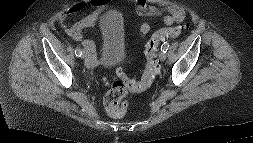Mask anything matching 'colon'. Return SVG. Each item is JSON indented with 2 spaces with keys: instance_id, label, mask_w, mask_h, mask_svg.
<instances>
[{
  "instance_id": "1",
  "label": "colon",
  "mask_w": 253,
  "mask_h": 143,
  "mask_svg": "<svg viewBox=\"0 0 253 143\" xmlns=\"http://www.w3.org/2000/svg\"><path fill=\"white\" fill-rule=\"evenodd\" d=\"M182 33L181 27L165 28L157 31L149 39L145 49L146 65L138 81L129 79L121 70L110 75L104 105L108 114L115 118L123 117L127 110V97L131 92L148 89L159 72L158 52L162 41L177 38Z\"/></svg>"
}]
</instances>
